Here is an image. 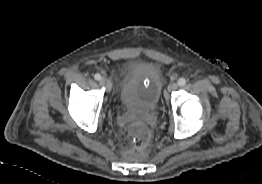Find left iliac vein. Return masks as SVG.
I'll return each instance as SVG.
<instances>
[{
	"mask_svg": "<svg viewBox=\"0 0 262 184\" xmlns=\"http://www.w3.org/2000/svg\"><path fill=\"white\" fill-rule=\"evenodd\" d=\"M177 88H178V84L175 83V82H172V83H170L169 86H168V91H169V92H172V91H175Z\"/></svg>",
	"mask_w": 262,
	"mask_h": 184,
	"instance_id": "1",
	"label": "left iliac vein"
}]
</instances>
